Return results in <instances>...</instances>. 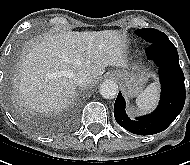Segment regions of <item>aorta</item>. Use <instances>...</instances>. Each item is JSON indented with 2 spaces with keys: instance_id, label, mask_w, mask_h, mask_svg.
I'll list each match as a JSON object with an SVG mask.
<instances>
[{
  "instance_id": "762f6f07",
  "label": "aorta",
  "mask_w": 190,
  "mask_h": 165,
  "mask_svg": "<svg viewBox=\"0 0 190 165\" xmlns=\"http://www.w3.org/2000/svg\"><path fill=\"white\" fill-rule=\"evenodd\" d=\"M100 94L106 99H113L118 94V86L113 80H105L100 86Z\"/></svg>"
}]
</instances>
